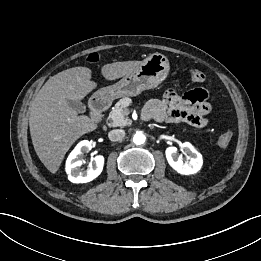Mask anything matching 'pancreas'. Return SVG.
Returning <instances> with one entry per match:
<instances>
[{"label":"pancreas","mask_w":261,"mask_h":261,"mask_svg":"<svg viewBox=\"0 0 261 261\" xmlns=\"http://www.w3.org/2000/svg\"><path fill=\"white\" fill-rule=\"evenodd\" d=\"M131 99L124 97L120 99L116 104L113 110L110 112V119L112 121V126L124 127L129 124L128 114L130 113L127 108L131 104Z\"/></svg>","instance_id":"cf45deb5"}]
</instances>
